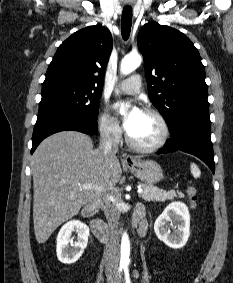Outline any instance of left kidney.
<instances>
[{
    "label": "left kidney",
    "mask_w": 233,
    "mask_h": 283,
    "mask_svg": "<svg viewBox=\"0 0 233 283\" xmlns=\"http://www.w3.org/2000/svg\"><path fill=\"white\" fill-rule=\"evenodd\" d=\"M170 228L174 229L171 233ZM154 230L159 240L173 249L182 248L190 236V214L182 202L169 204L156 219Z\"/></svg>",
    "instance_id": "obj_1"
}]
</instances>
